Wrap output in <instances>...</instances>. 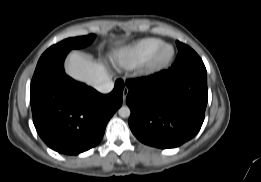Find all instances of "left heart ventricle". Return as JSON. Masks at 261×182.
I'll return each mask as SVG.
<instances>
[{"label": "left heart ventricle", "instance_id": "b2bd125f", "mask_svg": "<svg viewBox=\"0 0 261 182\" xmlns=\"http://www.w3.org/2000/svg\"><path fill=\"white\" fill-rule=\"evenodd\" d=\"M171 53V50L170 49H166L163 53V58H167Z\"/></svg>", "mask_w": 261, "mask_h": 182}]
</instances>
